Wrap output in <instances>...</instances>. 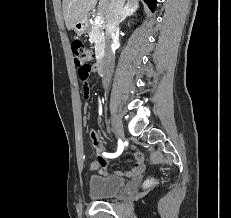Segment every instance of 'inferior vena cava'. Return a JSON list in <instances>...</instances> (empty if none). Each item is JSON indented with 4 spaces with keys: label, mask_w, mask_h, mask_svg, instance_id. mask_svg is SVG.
I'll return each mask as SVG.
<instances>
[{
    "label": "inferior vena cava",
    "mask_w": 231,
    "mask_h": 218,
    "mask_svg": "<svg viewBox=\"0 0 231 218\" xmlns=\"http://www.w3.org/2000/svg\"><path fill=\"white\" fill-rule=\"evenodd\" d=\"M125 0H111L109 14L106 18V52L103 63V85L108 87L114 66V51L112 47L118 41L119 24L124 16Z\"/></svg>",
    "instance_id": "inferior-vena-cava-1"
}]
</instances>
